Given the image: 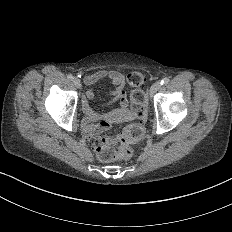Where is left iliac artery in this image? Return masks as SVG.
<instances>
[{
    "label": "left iliac artery",
    "mask_w": 232,
    "mask_h": 232,
    "mask_svg": "<svg viewBox=\"0 0 232 232\" xmlns=\"http://www.w3.org/2000/svg\"><path fill=\"white\" fill-rule=\"evenodd\" d=\"M169 81H170L169 78L165 77L161 80L160 85H166L169 83Z\"/></svg>",
    "instance_id": "44dca946"
}]
</instances>
